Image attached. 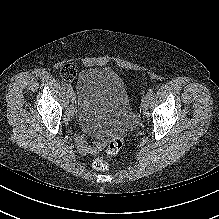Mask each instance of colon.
<instances>
[{
	"mask_svg": "<svg viewBox=\"0 0 219 219\" xmlns=\"http://www.w3.org/2000/svg\"><path fill=\"white\" fill-rule=\"evenodd\" d=\"M61 77L66 81H71L74 79L76 75V69L72 64H65L60 70ZM124 144V137L118 136L113 138L107 147L108 155H116ZM93 167L99 171H105L110 168V163L104 158H97L93 162Z\"/></svg>",
	"mask_w": 219,
	"mask_h": 219,
	"instance_id": "1",
	"label": "colon"
}]
</instances>
